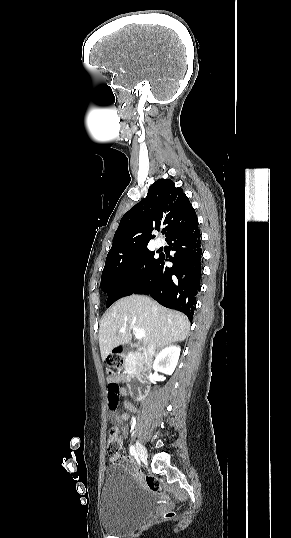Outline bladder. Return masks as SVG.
<instances>
[{
  "mask_svg": "<svg viewBox=\"0 0 291 538\" xmlns=\"http://www.w3.org/2000/svg\"><path fill=\"white\" fill-rule=\"evenodd\" d=\"M155 510V502L122 465L109 466L104 473L100 496V522L111 534H127Z\"/></svg>",
  "mask_w": 291,
  "mask_h": 538,
  "instance_id": "1",
  "label": "bladder"
}]
</instances>
